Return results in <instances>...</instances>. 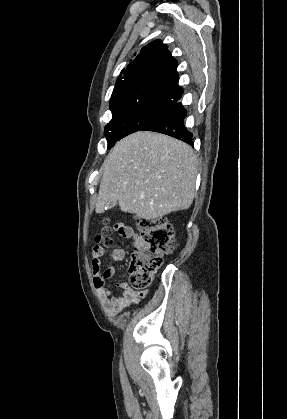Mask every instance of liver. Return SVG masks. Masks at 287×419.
<instances>
[{"instance_id":"1","label":"liver","mask_w":287,"mask_h":419,"mask_svg":"<svg viewBox=\"0 0 287 419\" xmlns=\"http://www.w3.org/2000/svg\"><path fill=\"white\" fill-rule=\"evenodd\" d=\"M197 166L188 144L154 132L133 133L104 161L95 211L104 213L111 201L147 220L186 210L195 196Z\"/></svg>"}]
</instances>
